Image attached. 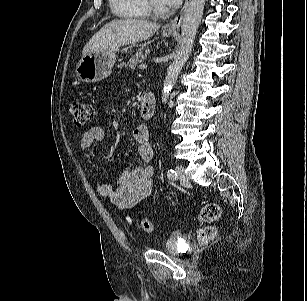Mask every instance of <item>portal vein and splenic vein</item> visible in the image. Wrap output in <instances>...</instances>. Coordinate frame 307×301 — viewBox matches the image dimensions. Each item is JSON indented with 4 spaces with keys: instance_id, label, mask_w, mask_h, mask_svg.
Returning a JSON list of instances; mask_svg holds the SVG:
<instances>
[{
    "instance_id": "portal-vein-and-splenic-vein-1",
    "label": "portal vein and splenic vein",
    "mask_w": 307,
    "mask_h": 301,
    "mask_svg": "<svg viewBox=\"0 0 307 301\" xmlns=\"http://www.w3.org/2000/svg\"><path fill=\"white\" fill-rule=\"evenodd\" d=\"M147 68V65L146 64H141L139 65V69H146Z\"/></svg>"
}]
</instances>
